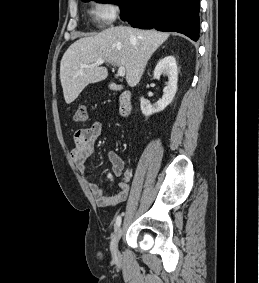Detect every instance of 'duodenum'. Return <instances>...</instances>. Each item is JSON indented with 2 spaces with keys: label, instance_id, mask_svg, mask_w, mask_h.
Masks as SVG:
<instances>
[{
  "label": "duodenum",
  "instance_id": "1",
  "mask_svg": "<svg viewBox=\"0 0 259 283\" xmlns=\"http://www.w3.org/2000/svg\"><path fill=\"white\" fill-rule=\"evenodd\" d=\"M115 89H119L118 86H113ZM131 93L123 90L119 97V111L122 115H127L131 111Z\"/></svg>",
  "mask_w": 259,
  "mask_h": 283
}]
</instances>
